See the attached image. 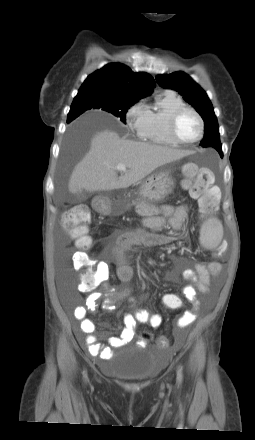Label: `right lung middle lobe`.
Listing matches in <instances>:
<instances>
[{
    "instance_id": "right-lung-middle-lobe-1",
    "label": "right lung middle lobe",
    "mask_w": 255,
    "mask_h": 440,
    "mask_svg": "<svg viewBox=\"0 0 255 440\" xmlns=\"http://www.w3.org/2000/svg\"><path fill=\"white\" fill-rule=\"evenodd\" d=\"M135 102L121 99L107 98L92 93L77 94L68 114V118H76L86 110L99 109L113 114L126 123L125 115L130 106ZM67 118V119H68Z\"/></svg>"
}]
</instances>
